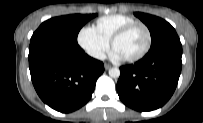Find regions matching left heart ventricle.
Returning a JSON list of instances; mask_svg holds the SVG:
<instances>
[{
    "label": "left heart ventricle",
    "mask_w": 203,
    "mask_h": 123,
    "mask_svg": "<svg viewBox=\"0 0 203 123\" xmlns=\"http://www.w3.org/2000/svg\"><path fill=\"white\" fill-rule=\"evenodd\" d=\"M147 42V36L143 28L136 27L128 34L118 39L114 49L118 51L123 58L132 57L143 50Z\"/></svg>",
    "instance_id": "obj_1"
}]
</instances>
